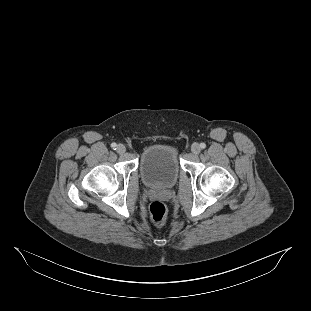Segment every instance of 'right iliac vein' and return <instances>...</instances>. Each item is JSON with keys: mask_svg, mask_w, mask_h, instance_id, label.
Wrapping results in <instances>:
<instances>
[{"mask_svg": "<svg viewBox=\"0 0 311 311\" xmlns=\"http://www.w3.org/2000/svg\"><path fill=\"white\" fill-rule=\"evenodd\" d=\"M116 151L120 154H123L125 151H126V148L123 144H119L117 147H116Z\"/></svg>", "mask_w": 311, "mask_h": 311, "instance_id": "obj_1", "label": "right iliac vein"}]
</instances>
